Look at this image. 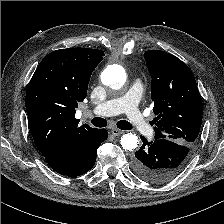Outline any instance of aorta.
<instances>
[{"label": "aorta", "mask_w": 224, "mask_h": 224, "mask_svg": "<svg viewBox=\"0 0 224 224\" xmlns=\"http://www.w3.org/2000/svg\"><path fill=\"white\" fill-rule=\"evenodd\" d=\"M103 84L114 90H120L125 86L126 73L120 65H109L101 74ZM138 137L136 134L127 133L121 137V146L124 150L132 151L137 148Z\"/></svg>", "instance_id": "obj_1"}]
</instances>
